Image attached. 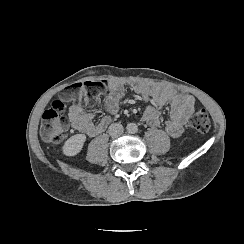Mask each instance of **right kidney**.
Returning <instances> with one entry per match:
<instances>
[{
	"instance_id": "obj_1",
	"label": "right kidney",
	"mask_w": 244,
	"mask_h": 244,
	"mask_svg": "<svg viewBox=\"0 0 244 244\" xmlns=\"http://www.w3.org/2000/svg\"><path fill=\"white\" fill-rule=\"evenodd\" d=\"M86 140L87 136L84 133L72 135L62 146L63 155L67 157H75L82 151Z\"/></svg>"
}]
</instances>
